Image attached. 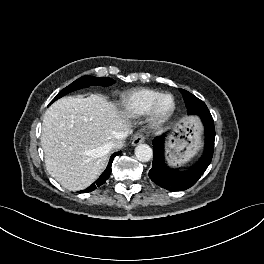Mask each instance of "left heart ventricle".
Instances as JSON below:
<instances>
[{"label": "left heart ventricle", "instance_id": "left-heart-ventricle-1", "mask_svg": "<svg viewBox=\"0 0 264 264\" xmlns=\"http://www.w3.org/2000/svg\"><path fill=\"white\" fill-rule=\"evenodd\" d=\"M171 105V100L169 98L165 99L162 103V109H168Z\"/></svg>", "mask_w": 264, "mask_h": 264}]
</instances>
